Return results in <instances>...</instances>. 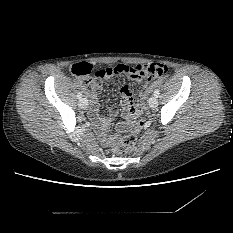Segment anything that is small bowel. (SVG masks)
<instances>
[{
  "label": "small bowel",
  "mask_w": 233,
  "mask_h": 233,
  "mask_svg": "<svg viewBox=\"0 0 233 233\" xmlns=\"http://www.w3.org/2000/svg\"><path fill=\"white\" fill-rule=\"evenodd\" d=\"M102 79L103 78H90L86 85H82L80 81V86L82 87L84 92L88 94V96L91 98V109H90L91 116L95 118L103 126L111 119H113L117 115L118 111L114 107L108 109V111L106 112L101 111L100 103L97 95L102 89ZM157 83L158 81L152 83H143L142 84L143 94H145L151 87H153ZM120 94L124 100L123 113L125 115V120L119 122L116 125L117 133L125 132L136 125V117L132 114H129L126 110L127 106L134 104L130 87L128 85H123L120 89ZM98 135L101 143L104 146H109L111 142L117 137V134H107L104 131L103 127L98 128Z\"/></svg>",
  "instance_id": "c3829d8e"
}]
</instances>
